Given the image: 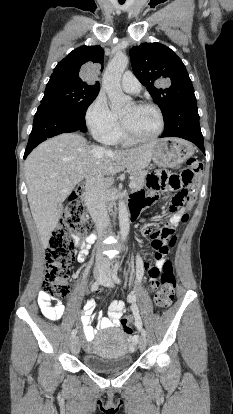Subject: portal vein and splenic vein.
I'll return each mask as SVG.
<instances>
[{"label": "portal vein and splenic vein", "mask_w": 233, "mask_h": 414, "mask_svg": "<svg viewBox=\"0 0 233 414\" xmlns=\"http://www.w3.org/2000/svg\"><path fill=\"white\" fill-rule=\"evenodd\" d=\"M108 181H109L110 183H112V182H113V179H112V178H109V179H108ZM134 186H135V185H134V183H130V184H129V187H130V188H134Z\"/></svg>", "instance_id": "18ae733b"}]
</instances>
